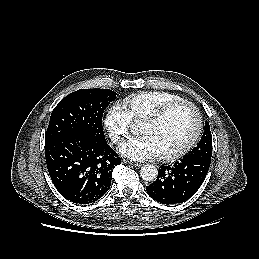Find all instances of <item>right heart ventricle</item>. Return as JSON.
I'll return each instance as SVG.
<instances>
[{"mask_svg": "<svg viewBox=\"0 0 259 259\" xmlns=\"http://www.w3.org/2000/svg\"><path fill=\"white\" fill-rule=\"evenodd\" d=\"M180 100L184 99L173 93L146 91L127 96L124 99V104L128 109L132 120L142 121L161 107Z\"/></svg>", "mask_w": 259, "mask_h": 259, "instance_id": "right-heart-ventricle-1", "label": "right heart ventricle"}]
</instances>
